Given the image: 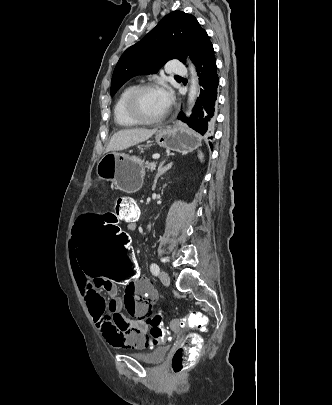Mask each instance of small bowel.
Segmentation results:
<instances>
[{
	"instance_id": "c3829d8e",
	"label": "small bowel",
	"mask_w": 332,
	"mask_h": 405,
	"mask_svg": "<svg viewBox=\"0 0 332 405\" xmlns=\"http://www.w3.org/2000/svg\"><path fill=\"white\" fill-rule=\"evenodd\" d=\"M127 224L128 229H135L130 220ZM69 258L82 297L105 340L113 347H132L133 353H146L150 342L141 335H146L150 327L145 318L150 316L152 304L157 301L158 288H150L149 282L139 276L132 287H126L122 300L115 281H101L100 275H83L80 262H76L75 243L69 245ZM102 290L108 293V301L102 297ZM121 310L127 311L132 318H126Z\"/></svg>"
}]
</instances>
